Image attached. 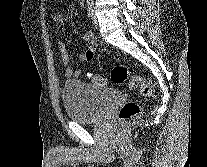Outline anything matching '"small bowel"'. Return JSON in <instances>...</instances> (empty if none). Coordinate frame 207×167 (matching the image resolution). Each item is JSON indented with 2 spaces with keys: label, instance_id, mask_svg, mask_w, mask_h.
Here are the masks:
<instances>
[{
  "label": "small bowel",
  "instance_id": "obj_1",
  "mask_svg": "<svg viewBox=\"0 0 207 167\" xmlns=\"http://www.w3.org/2000/svg\"><path fill=\"white\" fill-rule=\"evenodd\" d=\"M53 20L57 25H59L60 28H63L64 23H65V18L61 13L56 14L54 16ZM83 39L87 42L88 48L84 53L79 54L77 56V59L84 61V62H91L95 58V55L97 52V42L91 32H87L83 36ZM59 45H60V49H61L62 62L65 66V76L67 78L81 77L83 74V70L82 69H72L69 66V62L71 60V57H70V55H69V53H68V51L62 41L59 42Z\"/></svg>",
  "mask_w": 207,
  "mask_h": 167
}]
</instances>
